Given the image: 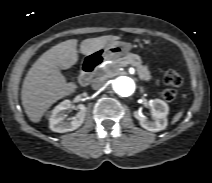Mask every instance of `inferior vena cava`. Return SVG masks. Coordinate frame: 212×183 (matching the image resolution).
<instances>
[{
  "mask_svg": "<svg viewBox=\"0 0 212 183\" xmlns=\"http://www.w3.org/2000/svg\"><path fill=\"white\" fill-rule=\"evenodd\" d=\"M105 82L102 78H96L93 80L92 82V88L97 90V89H100L104 86Z\"/></svg>",
  "mask_w": 212,
  "mask_h": 183,
  "instance_id": "inferior-vena-cava-1",
  "label": "inferior vena cava"
}]
</instances>
